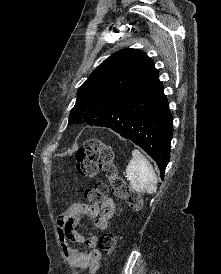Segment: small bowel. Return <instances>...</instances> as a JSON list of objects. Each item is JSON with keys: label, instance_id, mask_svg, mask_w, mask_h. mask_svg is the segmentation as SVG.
Returning <instances> with one entry per match:
<instances>
[{"label": "small bowel", "instance_id": "1", "mask_svg": "<svg viewBox=\"0 0 221 274\" xmlns=\"http://www.w3.org/2000/svg\"><path fill=\"white\" fill-rule=\"evenodd\" d=\"M115 212V203L111 198H106L100 205L78 203L71 206L58 219V237L61 249L68 262L81 272L88 271L95 274L99 268L101 253L97 249V237L84 236L77 229V225L83 219H92L94 229L104 231L110 218ZM83 243L88 251H82L73 247L70 243Z\"/></svg>", "mask_w": 221, "mask_h": 274}]
</instances>
